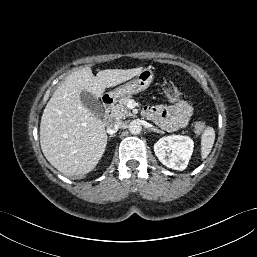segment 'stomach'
I'll return each mask as SVG.
<instances>
[{
  "label": "stomach",
  "instance_id": "obj_1",
  "mask_svg": "<svg viewBox=\"0 0 257 257\" xmlns=\"http://www.w3.org/2000/svg\"><path fill=\"white\" fill-rule=\"evenodd\" d=\"M154 79V71L151 67H147L141 70L136 77L125 84L117 87L109 94L113 99H118L125 96H131L137 94L142 90L147 89Z\"/></svg>",
  "mask_w": 257,
  "mask_h": 257
}]
</instances>
